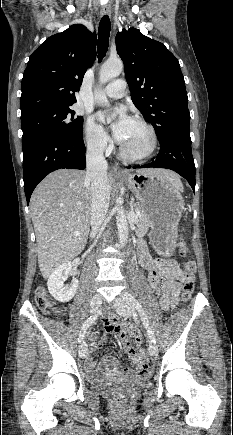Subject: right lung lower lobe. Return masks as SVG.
I'll return each mask as SVG.
<instances>
[{"mask_svg": "<svg viewBox=\"0 0 233 435\" xmlns=\"http://www.w3.org/2000/svg\"><path fill=\"white\" fill-rule=\"evenodd\" d=\"M22 144L23 180L28 204L37 184L50 172L61 168L83 170L86 167L83 136L73 140L46 134Z\"/></svg>", "mask_w": 233, "mask_h": 435, "instance_id": "98d812e1", "label": "right lung lower lobe"}]
</instances>
